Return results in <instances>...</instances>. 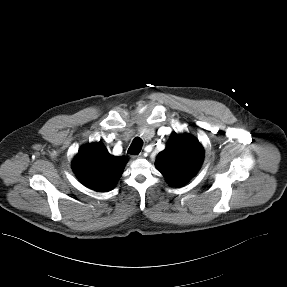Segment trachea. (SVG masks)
Wrapping results in <instances>:
<instances>
[{"mask_svg":"<svg viewBox=\"0 0 287 287\" xmlns=\"http://www.w3.org/2000/svg\"><path fill=\"white\" fill-rule=\"evenodd\" d=\"M141 149H142V139L139 137H136L132 141V143L128 149V153H130L132 155H138L140 153Z\"/></svg>","mask_w":287,"mask_h":287,"instance_id":"1","label":"trachea"}]
</instances>
